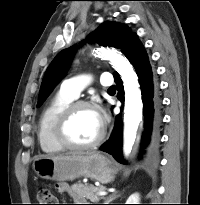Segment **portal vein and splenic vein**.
Wrapping results in <instances>:
<instances>
[{
    "instance_id": "portal-vein-and-splenic-vein-1",
    "label": "portal vein and splenic vein",
    "mask_w": 200,
    "mask_h": 205,
    "mask_svg": "<svg viewBox=\"0 0 200 205\" xmlns=\"http://www.w3.org/2000/svg\"><path fill=\"white\" fill-rule=\"evenodd\" d=\"M98 195H99V196H106V195H107V192L104 191V190H102V191H99V192H98Z\"/></svg>"
}]
</instances>
